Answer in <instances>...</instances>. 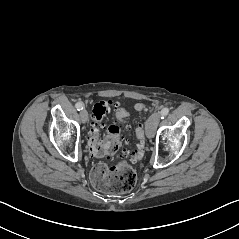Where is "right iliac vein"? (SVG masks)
Returning <instances> with one entry per match:
<instances>
[{"instance_id":"right-iliac-vein-1","label":"right iliac vein","mask_w":239,"mask_h":239,"mask_svg":"<svg viewBox=\"0 0 239 239\" xmlns=\"http://www.w3.org/2000/svg\"><path fill=\"white\" fill-rule=\"evenodd\" d=\"M80 118L83 123H86L88 121V112L86 110H82L80 112Z\"/></svg>"}]
</instances>
